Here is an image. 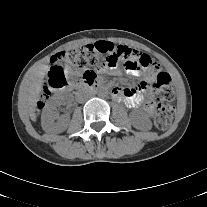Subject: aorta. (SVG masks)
I'll use <instances>...</instances> for the list:
<instances>
[{
  "instance_id": "obj_1",
  "label": "aorta",
  "mask_w": 207,
  "mask_h": 207,
  "mask_svg": "<svg viewBox=\"0 0 207 207\" xmlns=\"http://www.w3.org/2000/svg\"><path fill=\"white\" fill-rule=\"evenodd\" d=\"M99 93L101 96H106L108 94L107 90L105 89H100Z\"/></svg>"
}]
</instances>
